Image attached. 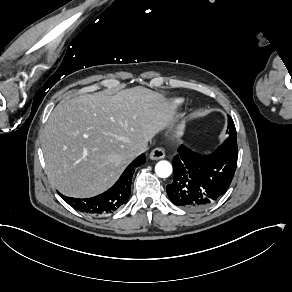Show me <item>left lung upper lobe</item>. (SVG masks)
Listing matches in <instances>:
<instances>
[{"label": "left lung upper lobe", "instance_id": "5c2ea615", "mask_svg": "<svg viewBox=\"0 0 292 292\" xmlns=\"http://www.w3.org/2000/svg\"><path fill=\"white\" fill-rule=\"evenodd\" d=\"M228 134L229 137L225 140L222 145H225L231 149H238L236 140V129L234 122L230 116H228Z\"/></svg>", "mask_w": 292, "mask_h": 292}]
</instances>
